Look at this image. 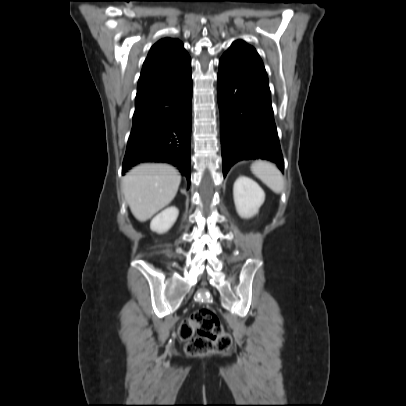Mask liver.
Returning a JSON list of instances; mask_svg holds the SVG:
<instances>
[{"instance_id":"liver-1","label":"liver","mask_w":406,"mask_h":406,"mask_svg":"<svg viewBox=\"0 0 406 406\" xmlns=\"http://www.w3.org/2000/svg\"><path fill=\"white\" fill-rule=\"evenodd\" d=\"M181 176L168 164H141L122 180V190L132 214L145 222L176 196Z\"/></svg>"}]
</instances>
